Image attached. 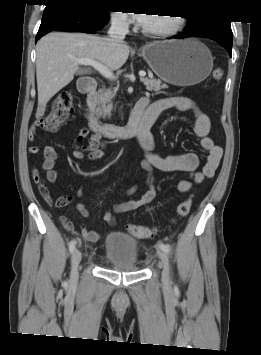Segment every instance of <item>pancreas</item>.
I'll use <instances>...</instances> for the list:
<instances>
[{
	"label": "pancreas",
	"mask_w": 261,
	"mask_h": 355,
	"mask_svg": "<svg viewBox=\"0 0 261 355\" xmlns=\"http://www.w3.org/2000/svg\"><path fill=\"white\" fill-rule=\"evenodd\" d=\"M143 83L146 86L148 91H154L159 93L162 89L167 88L166 84H162L160 80L157 79H143ZM117 89H101L99 92L94 96V100L92 105L95 109V112L105 118L106 116L111 115V111L113 109L112 99L115 97Z\"/></svg>",
	"instance_id": "1"
}]
</instances>
